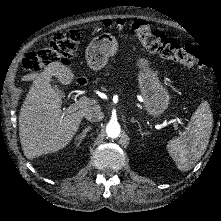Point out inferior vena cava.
<instances>
[{
  "label": "inferior vena cava",
  "mask_w": 221,
  "mask_h": 221,
  "mask_svg": "<svg viewBox=\"0 0 221 221\" xmlns=\"http://www.w3.org/2000/svg\"><path fill=\"white\" fill-rule=\"evenodd\" d=\"M84 117L89 122H99L104 118V113L100 109H91L89 112L84 114Z\"/></svg>",
  "instance_id": "inferior-vena-cava-1"
}]
</instances>
